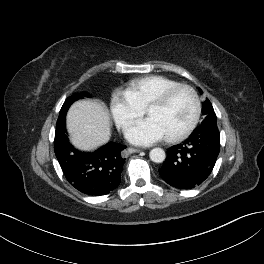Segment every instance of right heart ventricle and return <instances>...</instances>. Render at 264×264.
I'll return each mask as SVG.
<instances>
[{
    "label": "right heart ventricle",
    "mask_w": 264,
    "mask_h": 264,
    "mask_svg": "<svg viewBox=\"0 0 264 264\" xmlns=\"http://www.w3.org/2000/svg\"><path fill=\"white\" fill-rule=\"evenodd\" d=\"M178 84H180L178 81L166 76L148 75L131 81L126 93L136 105L144 110L162 92Z\"/></svg>",
    "instance_id": "1"
}]
</instances>
